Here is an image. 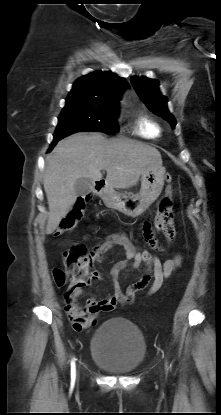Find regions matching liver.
Returning a JSON list of instances; mask_svg holds the SVG:
<instances>
[{
	"mask_svg": "<svg viewBox=\"0 0 221 415\" xmlns=\"http://www.w3.org/2000/svg\"><path fill=\"white\" fill-rule=\"evenodd\" d=\"M162 166L160 152L125 138L106 139L100 133H75L62 139L47 157L43 185L49 213L46 234H52L77 200L74 184L79 178L99 181L106 170L108 189L137 184L149 167Z\"/></svg>",
	"mask_w": 221,
	"mask_h": 415,
	"instance_id": "1",
	"label": "liver"
}]
</instances>
